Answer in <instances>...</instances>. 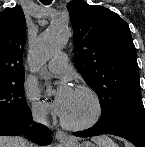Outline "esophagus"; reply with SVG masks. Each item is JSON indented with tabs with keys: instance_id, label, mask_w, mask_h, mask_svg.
<instances>
[{
	"instance_id": "34e87169",
	"label": "esophagus",
	"mask_w": 145,
	"mask_h": 147,
	"mask_svg": "<svg viewBox=\"0 0 145 147\" xmlns=\"http://www.w3.org/2000/svg\"><path fill=\"white\" fill-rule=\"evenodd\" d=\"M55 137L59 142H69V141H71L70 137L62 130H58L55 134Z\"/></svg>"
}]
</instances>
